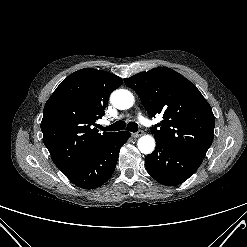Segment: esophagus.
<instances>
[{"mask_svg": "<svg viewBox=\"0 0 247 247\" xmlns=\"http://www.w3.org/2000/svg\"><path fill=\"white\" fill-rule=\"evenodd\" d=\"M143 132L141 130H139L138 132L132 133V137L134 138H138L140 136H142Z\"/></svg>", "mask_w": 247, "mask_h": 247, "instance_id": "34e87169", "label": "esophagus"}]
</instances>
